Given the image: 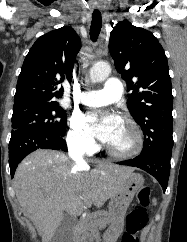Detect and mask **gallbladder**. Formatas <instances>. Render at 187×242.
Segmentation results:
<instances>
[{
	"mask_svg": "<svg viewBox=\"0 0 187 242\" xmlns=\"http://www.w3.org/2000/svg\"><path fill=\"white\" fill-rule=\"evenodd\" d=\"M74 224L75 218L70 214H65L51 242H72L71 229Z\"/></svg>",
	"mask_w": 187,
	"mask_h": 242,
	"instance_id": "1",
	"label": "gallbladder"
}]
</instances>
